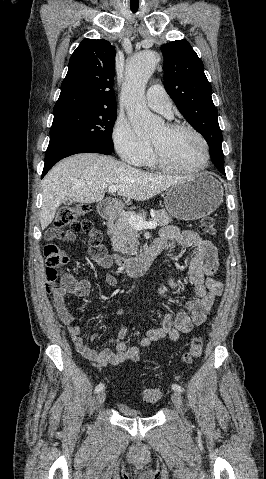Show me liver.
I'll return each instance as SVG.
<instances>
[{
	"label": "liver",
	"mask_w": 266,
	"mask_h": 479,
	"mask_svg": "<svg viewBox=\"0 0 266 479\" xmlns=\"http://www.w3.org/2000/svg\"><path fill=\"white\" fill-rule=\"evenodd\" d=\"M186 178L147 173L105 155L70 156L56 164L43 179L41 228L44 230L53 221L64 200L99 202L106 190L115 185L119 186V196L145 201Z\"/></svg>",
	"instance_id": "6515ba94"
}]
</instances>
